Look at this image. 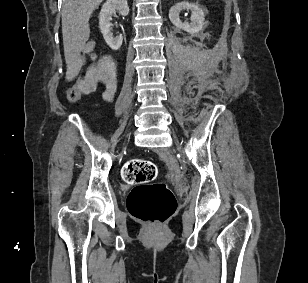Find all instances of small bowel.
<instances>
[{"mask_svg": "<svg viewBox=\"0 0 308 283\" xmlns=\"http://www.w3.org/2000/svg\"><path fill=\"white\" fill-rule=\"evenodd\" d=\"M83 68H86L83 75V85L86 87L87 93L93 92L98 84L102 83L106 87L104 98L108 101L112 100L117 88L115 64L112 59L107 56L98 58L94 54L87 59L77 56L69 64L68 76L72 79L77 77Z\"/></svg>", "mask_w": 308, "mask_h": 283, "instance_id": "obj_1", "label": "small bowel"}]
</instances>
